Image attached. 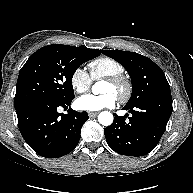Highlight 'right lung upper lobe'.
Wrapping results in <instances>:
<instances>
[{
    "mask_svg": "<svg viewBox=\"0 0 193 193\" xmlns=\"http://www.w3.org/2000/svg\"><path fill=\"white\" fill-rule=\"evenodd\" d=\"M76 49L78 50H81V51H85V52H90L96 56H99L100 55V51L98 49H89V48H86V47H75Z\"/></svg>",
    "mask_w": 193,
    "mask_h": 193,
    "instance_id": "right-lung-upper-lobe-1",
    "label": "right lung upper lobe"
}]
</instances>
